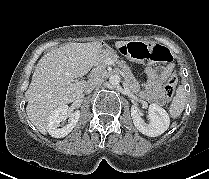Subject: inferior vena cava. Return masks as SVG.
I'll return each instance as SVG.
<instances>
[{
	"mask_svg": "<svg viewBox=\"0 0 209 179\" xmlns=\"http://www.w3.org/2000/svg\"><path fill=\"white\" fill-rule=\"evenodd\" d=\"M103 83L102 79L94 78L88 81L86 88H85V93H90L95 87L98 85H101Z\"/></svg>",
	"mask_w": 209,
	"mask_h": 179,
	"instance_id": "602c4592",
	"label": "inferior vena cava"
}]
</instances>
